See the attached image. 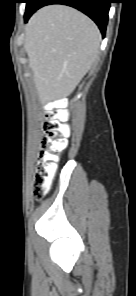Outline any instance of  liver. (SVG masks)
<instances>
[{"mask_svg": "<svg viewBox=\"0 0 136 296\" xmlns=\"http://www.w3.org/2000/svg\"><path fill=\"white\" fill-rule=\"evenodd\" d=\"M100 41L96 24L74 8L48 5L34 13L24 48L39 100L70 95L97 59Z\"/></svg>", "mask_w": 136, "mask_h": 296, "instance_id": "1", "label": "liver"}]
</instances>
